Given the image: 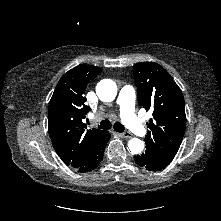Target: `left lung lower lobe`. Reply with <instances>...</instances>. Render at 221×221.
<instances>
[{"instance_id":"0a47b994","label":"left lung lower lobe","mask_w":221,"mask_h":221,"mask_svg":"<svg viewBox=\"0 0 221 221\" xmlns=\"http://www.w3.org/2000/svg\"><path fill=\"white\" fill-rule=\"evenodd\" d=\"M134 160L139 166L144 167L149 171H159L170 163V161L156 155L147 149L141 155L135 156Z\"/></svg>"}]
</instances>
